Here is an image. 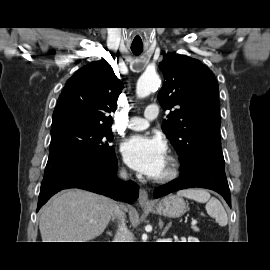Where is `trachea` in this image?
Listing matches in <instances>:
<instances>
[{"instance_id": "1", "label": "trachea", "mask_w": 270, "mask_h": 270, "mask_svg": "<svg viewBox=\"0 0 270 270\" xmlns=\"http://www.w3.org/2000/svg\"><path fill=\"white\" fill-rule=\"evenodd\" d=\"M131 50L135 55H140L143 51L142 48H131Z\"/></svg>"}]
</instances>
